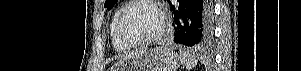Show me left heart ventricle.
<instances>
[{"label":"left heart ventricle","instance_id":"obj_1","mask_svg":"<svg viewBox=\"0 0 301 71\" xmlns=\"http://www.w3.org/2000/svg\"><path fill=\"white\" fill-rule=\"evenodd\" d=\"M161 24V18L155 8L148 4L131 6L123 19V32L127 39L139 41L154 35Z\"/></svg>","mask_w":301,"mask_h":71}]
</instances>
